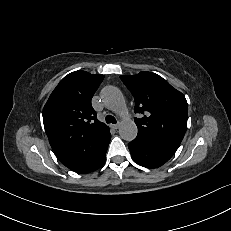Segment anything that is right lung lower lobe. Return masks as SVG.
Returning <instances> with one entry per match:
<instances>
[{"label": "right lung lower lobe", "mask_w": 231, "mask_h": 231, "mask_svg": "<svg viewBox=\"0 0 231 231\" xmlns=\"http://www.w3.org/2000/svg\"><path fill=\"white\" fill-rule=\"evenodd\" d=\"M111 139L110 131L105 135V137L98 142L95 151L83 162H81L77 167L71 169L77 173H89L102 167L105 162L106 152Z\"/></svg>", "instance_id": "98d812e1"}]
</instances>
